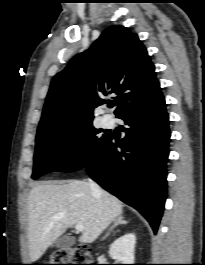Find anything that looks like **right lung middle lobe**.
Returning a JSON list of instances; mask_svg holds the SVG:
<instances>
[{
  "label": "right lung middle lobe",
  "mask_w": 205,
  "mask_h": 265,
  "mask_svg": "<svg viewBox=\"0 0 205 265\" xmlns=\"http://www.w3.org/2000/svg\"><path fill=\"white\" fill-rule=\"evenodd\" d=\"M100 132L92 120L66 122L37 131L32 178L85 167L109 137L99 136Z\"/></svg>",
  "instance_id": "obj_1"
}]
</instances>
